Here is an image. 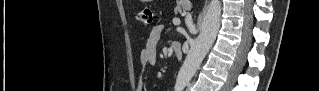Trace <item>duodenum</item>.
<instances>
[{
    "label": "duodenum",
    "mask_w": 319,
    "mask_h": 91,
    "mask_svg": "<svg viewBox=\"0 0 319 91\" xmlns=\"http://www.w3.org/2000/svg\"><path fill=\"white\" fill-rule=\"evenodd\" d=\"M171 49L173 51V53L177 56V57H180L182 52H181V46H180V43L177 42V41H173L171 43Z\"/></svg>",
    "instance_id": "1"
}]
</instances>
